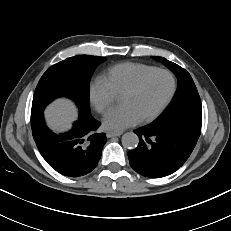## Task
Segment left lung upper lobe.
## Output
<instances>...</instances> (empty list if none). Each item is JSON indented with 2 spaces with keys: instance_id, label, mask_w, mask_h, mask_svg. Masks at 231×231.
Returning <instances> with one entry per match:
<instances>
[{
  "instance_id": "obj_1",
  "label": "left lung upper lobe",
  "mask_w": 231,
  "mask_h": 231,
  "mask_svg": "<svg viewBox=\"0 0 231 231\" xmlns=\"http://www.w3.org/2000/svg\"><path fill=\"white\" fill-rule=\"evenodd\" d=\"M154 59L166 65L178 79L176 95L166 113L155 124H172L179 121L202 123V105L190 74L179 65L163 57Z\"/></svg>"
}]
</instances>
